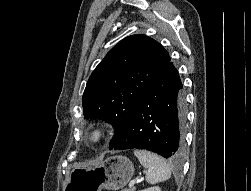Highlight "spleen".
Segmentation results:
<instances>
[{
    "label": "spleen",
    "instance_id": "obj_1",
    "mask_svg": "<svg viewBox=\"0 0 251 191\" xmlns=\"http://www.w3.org/2000/svg\"><path fill=\"white\" fill-rule=\"evenodd\" d=\"M134 155L138 157L143 167H147L145 177L148 183H158V181H165L171 177V169L160 155L146 151V149H134Z\"/></svg>",
    "mask_w": 251,
    "mask_h": 191
}]
</instances>
